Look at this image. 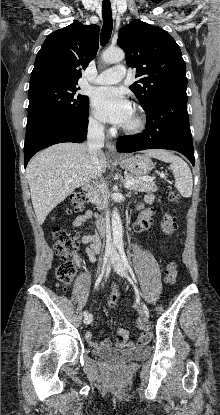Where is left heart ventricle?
<instances>
[{"mask_svg":"<svg viewBox=\"0 0 220 415\" xmlns=\"http://www.w3.org/2000/svg\"><path fill=\"white\" fill-rule=\"evenodd\" d=\"M134 121V114L132 113L130 119L128 120V122L126 123V125L133 123Z\"/></svg>","mask_w":220,"mask_h":415,"instance_id":"left-heart-ventricle-1","label":"left heart ventricle"}]
</instances>
